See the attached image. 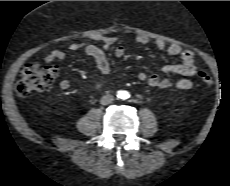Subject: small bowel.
I'll list each match as a JSON object with an SVG mask.
<instances>
[{
    "label": "small bowel",
    "instance_id": "1",
    "mask_svg": "<svg viewBox=\"0 0 230 186\" xmlns=\"http://www.w3.org/2000/svg\"><path fill=\"white\" fill-rule=\"evenodd\" d=\"M115 39L111 37L92 36L90 41L83 43H73L68 46L71 51H84L90 56L98 70L103 74L110 72V63L105 54V50H108L114 44ZM137 42L139 44H147L149 39L146 37H138ZM96 43H99L97 45ZM156 46L160 51H166L169 56H178L181 60L179 64H168L162 68V72L165 75L175 74L183 76L184 78L178 80L174 86L179 90H188L192 87V81L188 78L191 77L199 70L196 65V54L193 50L183 49L179 44H171L166 46V43L162 40L156 42ZM114 54L116 57L121 58L125 54V49L122 46L115 48ZM66 58V53L62 50H52L45 57L44 60L47 63L61 61ZM140 81H145L150 87L153 88H169L173 83L165 77H160L157 74H147L146 72H140L137 75ZM59 86L63 90H68L71 87V83L68 80H61ZM95 89H101L104 87L103 82H97L94 85Z\"/></svg>",
    "mask_w": 230,
    "mask_h": 186
}]
</instances>
